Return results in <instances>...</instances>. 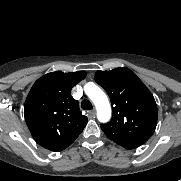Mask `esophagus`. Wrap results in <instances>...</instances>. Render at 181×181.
Wrapping results in <instances>:
<instances>
[{
    "instance_id": "esophagus-1",
    "label": "esophagus",
    "mask_w": 181,
    "mask_h": 181,
    "mask_svg": "<svg viewBox=\"0 0 181 181\" xmlns=\"http://www.w3.org/2000/svg\"><path fill=\"white\" fill-rule=\"evenodd\" d=\"M89 115H90L91 117H95V115H96V110L93 109V110L89 111Z\"/></svg>"
}]
</instances>
